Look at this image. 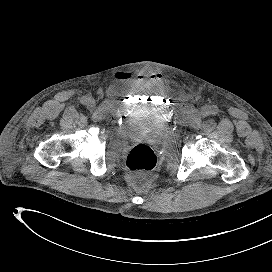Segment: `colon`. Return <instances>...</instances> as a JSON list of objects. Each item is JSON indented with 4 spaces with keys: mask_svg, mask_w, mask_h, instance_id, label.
Segmentation results:
<instances>
[{
    "mask_svg": "<svg viewBox=\"0 0 272 272\" xmlns=\"http://www.w3.org/2000/svg\"><path fill=\"white\" fill-rule=\"evenodd\" d=\"M156 155L151 147L146 144L134 146L126 157V166L132 171H148L155 167Z\"/></svg>",
    "mask_w": 272,
    "mask_h": 272,
    "instance_id": "1",
    "label": "colon"
}]
</instances>
